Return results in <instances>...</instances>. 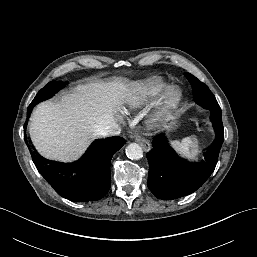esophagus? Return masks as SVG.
<instances>
[{"mask_svg":"<svg viewBox=\"0 0 257 257\" xmlns=\"http://www.w3.org/2000/svg\"><path fill=\"white\" fill-rule=\"evenodd\" d=\"M131 138H135L136 142L142 147L144 151H149L151 149L150 143L143 137L134 135Z\"/></svg>","mask_w":257,"mask_h":257,"instance_id":"1","label":"esophagus"}]
</instances>
